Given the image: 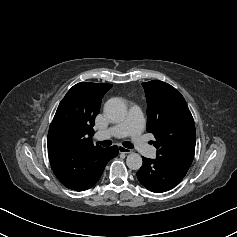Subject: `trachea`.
Returning a JSON list of instances; mask_svg holds the SVG:
<instances>
[{"instance_id": "obj_1", "label": "trachea", "mask_w": 237, "mask_h": 237, "mask_svg": "<svg viewBox=\"0 0 237 237\" xmlns=\"http://www.w3.org/2000/svg\"><path fill=\"white\" fill-rule=\"evenodd\" d=\"M99 144H101L103 147H108L112 144V141L111 140H104V141H101V142H97ZM123 146L126 147V148H129V149H132L134 146L132 143L130 142H123Z\"/></svg>"}]
</instances>
